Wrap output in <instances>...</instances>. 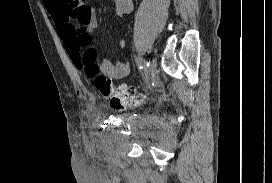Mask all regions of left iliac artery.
<instances>
[{
  "mask_svg": "<svg viewBox=\"0 0 272 183\" xmlns=\"http://www.w3.org/2000/svg\"><path fill=\"white\" fill-rule=\"evenodd\" d=\"M136 63L138 64L140 69H144L147 70V68L149 67V62H147L146 60H144L142 57L138 56L136 58Z\"/></svg>",
  "mask_w": 272,
  "mask_h": 183,
  "instance_id": "left-iliac-artery-1",
  "label": "left iliac artery"
}]
</instances>
